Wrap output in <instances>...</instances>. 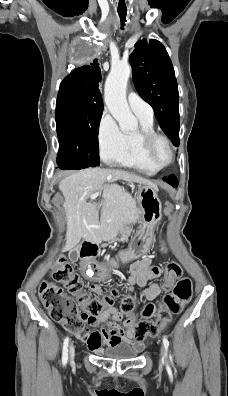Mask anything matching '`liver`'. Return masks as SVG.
Returning <instances> with one entry per match:
<instances>
[{"label":"liver","mask_w":228,"mask_h":396,"mask_svg":"<svg viewBox=\"0 0 228 396\" xmlns=\"http://www.w3.org/2000/svg\"><path fill=\"white\" fill-rule=\"evenodd\" d=\"M117 180L157 187L150 180L129 172L100 167L80 170L61 180L59 189L65 198L68 247L76 246L81 239L99 243L113 235L123 218L137 220L136 201L115 183ZM96 192L102 193L100 222L98 206L87 202Z\"/></svg>","instance_id":"1"}]
</instances>
